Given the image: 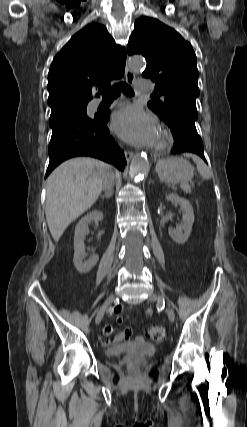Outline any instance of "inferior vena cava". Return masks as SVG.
<instances>
[{"label": "inferior vena cava", "instance_id": "602c4592", "mask_svg": "<svg viewBox=\"0 0 247 427\" xmlns=\"http://www.w3.org/2000/svg\"><path fill=\"white\" fill-rule=\"evenodd\" d=\"M113 186H114V174L111 173L106 176L104 180L103 189L105 190L106 193H110L113 191Z\"/></svg>", "mask_w": 247, "mask_h": 427}]
</instances>
